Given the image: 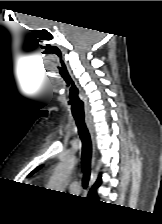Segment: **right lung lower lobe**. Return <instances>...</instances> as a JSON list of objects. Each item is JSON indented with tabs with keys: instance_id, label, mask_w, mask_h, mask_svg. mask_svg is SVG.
Returning <instances> with one entry per match:
<instances>
[{
	"instance_id": "obj_1",
	"label": "right lung lower lobe",
	"mask_w": 162,
	"mask_h": 224,
	"mask_svg": "<svg viewBox=\"0 0 162 224\" xmlns=\"http://www.w3.org/2000/svg\"><path fill=\"white\" fill-rule=\"evenodd\" d=\"M93 198H96L97 196H96V194L94 195V196H92Z\"/></svg>"
}]
</instances>
